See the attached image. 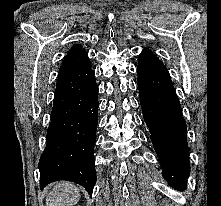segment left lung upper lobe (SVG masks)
<instances>
[{
    "label": "left lung upper lobe",
    "mask_w": 221,
    "mask_h": 206,
    "mask_svg": "<svg viewBox=\"0 0 221 206\" xmlns=\"http://www.w3.org/2000/svg\"><path fill=\"white\" fill-rule=\"evenodd\" d=\"M138 69L143 71L166 73L168 71L164 64L149 50L144 49L139 56Z\"/></svg>",
    "instance_id": "1"
}]
</instances>
